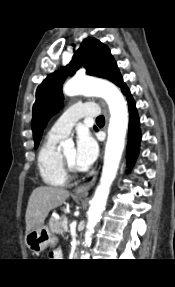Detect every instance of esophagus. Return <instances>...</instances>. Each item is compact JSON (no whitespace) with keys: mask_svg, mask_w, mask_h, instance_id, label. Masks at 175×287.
Returning a JSON list of instances; mask_svg holds the SVG:
<instances>
[{"mask_svg":"<svg viewBox=\"0 0 175 287\" xmlns=\"http://www.w3.org/2000/svg\"><path fill=\"white\" fill-rule=\"evenodd\" d=\"M100 104H101V106L103 108V112H104L105 119H106V125H107L108 119H109V112H108L106 104L103 101H100ZM97 176H98V171L93 174V176H92L90 181H88V182L76 187L74 189V193L77 194V195H80V196H87L89 190L95 184Z\"/></svg>","mask_w":175,"mask_h":287,"instance_id":"1","label":"esophagus"}]
</instances>
